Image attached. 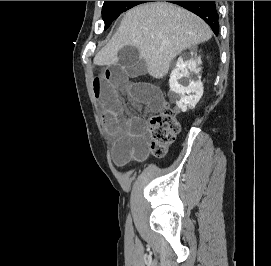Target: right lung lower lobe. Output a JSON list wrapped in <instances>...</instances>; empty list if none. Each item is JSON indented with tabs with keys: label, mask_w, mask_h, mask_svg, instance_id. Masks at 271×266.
Listing matches in <instances>:
<instances>
[{
	"label": "right lung lower lobe",
	"mask_w": 271,
	"mask_h": 266,
	"mask_svg": "<svg viewBox=\"0 0 271 266\" xmlns=\"http://www.w3.org/2000/svg\"><path fill=\"white\" fill-rule=\"evenodd\" d=\"M180 5L201 17L213 30L219 33V17L215 1H167Z\"/></svg>",
	"instance_id": "right-lung-lower-lobe-1"
}]
</instances>
